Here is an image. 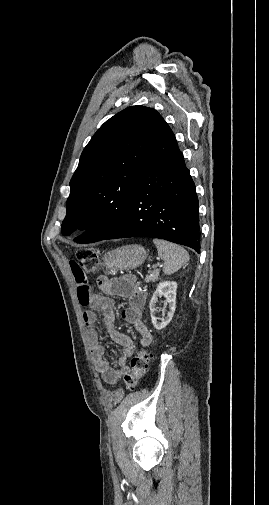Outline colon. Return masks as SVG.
Returning a JSON list of instances; mask_svg holds the SVG:
<instances>
[{"instance_id":"1","label":"colon","mask_w":269,"mask_h":505,"mask_svg":"<svg viewBox=\"0 0 269 505\" xmlns=\"http://www.w3.org/2000/svg\"><path fill=\"white\" fill-rule=\"evenodd\" d=\"M76 260L79 261L80 268H83L85 274H96L101 271L99 252L95 248L79 249L76 253ZM150 356L149 351L140 350L132 358L129 371L123 375L124 383L128 389L137 387L148 369Z\"/></svg>"}]
</instances>
